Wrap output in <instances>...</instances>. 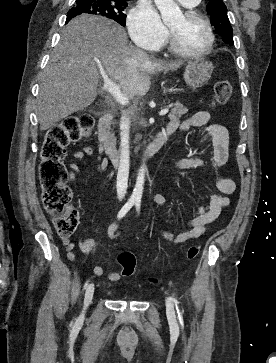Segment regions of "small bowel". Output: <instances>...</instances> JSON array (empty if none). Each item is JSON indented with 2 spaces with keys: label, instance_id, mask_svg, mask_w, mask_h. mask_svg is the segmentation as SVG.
<instances>
[{
  "label": "small bowel",
  "instance_id": "1",
  "mask_svg": "<svg viewBox=\"0 0 276 363\" xmlns=\"http://www.w3.org/2000/svg\"><path fill=\"white\" fill-rule=\"evenodd\" d=\"M201 127L206 126L208 136L211 141V155L210 165L213 169H220L226 165L229 157V134L227 129L218 123L212 122V116L208 111H199L189 117L187 120L173 121L163 131L166 134H171L176 130H186L189 127ZM94 156V150L92 147L85 146L81 150L76 151L72 154L74 160L81 161L86 157ZM97 168L103 169L106 161L99 154L96 156ZM205 162L200 158H186L175 163V169H191V168H204ZM70 180L74 181L79 177L80 167L76 163L69 164ZM216 187L218 193L210 195L207 204L199 207L194 215L187 223V228L173 234L167 230L159 229L160 235L172 243H184L195 240L201 237L207 230V228L216 222L222 212V209L230 204V195L236 190V184L233 179L218 176L216 178ZM152 201L160 206L166 207L167 200L161 194H154ZM118 224L113 223L108 229V235L110 238H116L118 236ZM63 244L68 251V258L70 261L75 260V256L72 253L74 244L67 240H63ZM95 245V240L92 238L79 239L78 247L83 253H88L92 250ZM92 272L96 276H106L111 282H116L121 278V274L118 272L105 273L102 266L95 265L92 267ZM123 275V273H122ZM125 276V275H124Z\"/></svg>",
  "mask_w": 276,
  "mask_h": 363
}]
</instances>
